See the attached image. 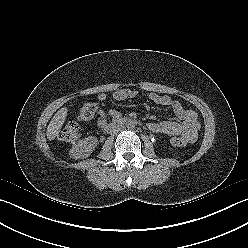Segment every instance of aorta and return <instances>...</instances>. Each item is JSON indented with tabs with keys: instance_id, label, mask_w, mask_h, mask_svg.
<instances>
[{
	"instance_id": "aorta-1",
	"label": "aorta",
	"mask_w": 248,
	"mask_h": 248,
	"mask_svg": "<svg viewBox=\"0 0 248 248\" xmlns=\"http://www.w3.org/2000/svg\"><path fill=\"white\" fill-rule=\"evenodd\" d=\"M125 126L127 129H133L136 126V121L133 119H129L126 121Z\"/></svg>"
}]
</instances>
